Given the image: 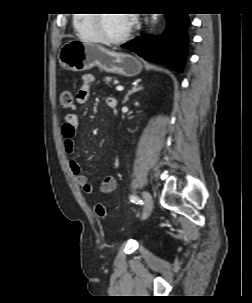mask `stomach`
<instances>
[{"instance_id": "obj_1", "label": "stomach", "mask_w": 252, "mask_h": 303, "mask_svg": "<svg viewBox=\"0 0 252 303\" xmlns=\"http://www.w3.org/2000/svg\"><path fill=\"white\" fill-rule=\"evenodd\" d=\"M60 65L72 71H84L94 66L126 77L138 75L143 65L130 54L118 53L97 44L79 40L67 41L59 51Z\"/></svg>"}]
</instances>
